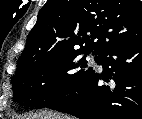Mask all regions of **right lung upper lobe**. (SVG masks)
<instances>
[{"label": "right lung upper lobe", "instance_id": "obj_1", "mask_svg": "<svg viewBox=\"0 0 142 119\" xmlns=\"http://www.w3.org/2000/svg\"><path fill=\"white\" fill-rule=\"evenodd\" d=\"M140 39L139 0H47L28 34L17 70L50 55L72 50L99 55Z\"/></svg>", "mask_w": 142, "mask_h": 119}]
</instances>
